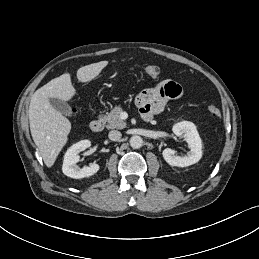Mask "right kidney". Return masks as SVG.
I'll list each match as a JSON object with an SVG mask.
<instances>
[{
    "label": "right kidney",
    "mask_w": 259,
    "mask_h": 259,
    "mask_svg": "<svg viewBox=\"0 0 259 259\" xmlns=\"http://www.w3.org/2000/svg\"><path fill=\"white\" fill-rule=\"evenodd\" d=\"M91 142L89 140H82L76 144H73L65 153L62 171L63 173L74 179H81L84 177H90L97 173L99 165L96 163L90 164V166L80 169L76 163L79 162V153L90 147Z\"/></svg>",
    "instance_id": "right-kidney-1"
}]
</instances>
